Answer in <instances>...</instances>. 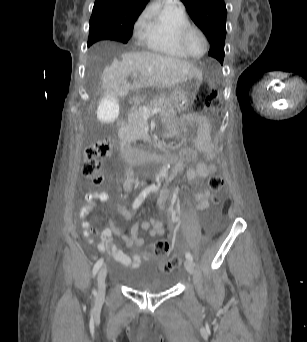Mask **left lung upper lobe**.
<instances>
[{
	"label": "left lung upper lobe",
	"mask_w": 307,
	"mask_h": 342,
	"mask_svg": "<svg viewBox=\"0 0 307 342\" xmlns=\"http://www.w3.org/2000/svg\"><path fill=\"white\" fill-rule=\"evenodd\" d=\"M210 42L209 55L221 64L224 60L227 10L223 0H181Z\"/></svg>",
	"instance_id": "left-lung-upper-lobe-1"
}]
</instances>
